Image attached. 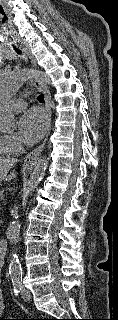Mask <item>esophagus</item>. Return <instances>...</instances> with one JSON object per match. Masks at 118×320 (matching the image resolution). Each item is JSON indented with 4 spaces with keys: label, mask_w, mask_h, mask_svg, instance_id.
Instances as JSON below:
<instances>
[{
    "label": "esophagus",
    "mask_w": 118,
    "mask_h": 320,
    "mask_svg": "<svg viewBox=\"0 0 118 320\" xmlns=\"http://www.w3.org/2000/svg\"><path fill=\"white\" fill-rule=\"evenodd\" d=\"M22 48H23V51L30 58L32 65L35 67L36 66V59H35L34 55L32 54L30 47L27 44H25L22 46ZM34 85L39 91H41L44 94L45 106H46L47 115H48L49 128H48V133H47L46 138L44 139L43 143L40 146H38L37 148H35L34 150H32L30 153H28L24 157V167L25 168L33 167L37 163L39 156L41 155V153L45 147L46 140H47L48 135L50 133V126H51L52 111H51V105H50V102H51L50 92L47 89V87L37 79L34 80Z\"/></svg>",
    "instance_id": "1"
}]
</instances>
